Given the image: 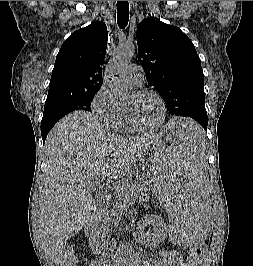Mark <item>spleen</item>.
Listing matches in <instances>:
<instances>
[{"mask_svg": "<svg viewBox=\"0 0 253 266\" xmlns=\"http://www.w3.org/2000/svg\"><path fill=\"white\" fill-rule=\"evenodd\" d=\"M168 153L155 161L156 176L151 178V194L159 199L167 220L169 248H203L210 235L205 169L208 135L200 134V124L192 117H169Z\"/></svg>", "mask_w": 253, "mask_h": 266, "instance_id": "3e777b00", "label": "spleen"}]
</instances>
